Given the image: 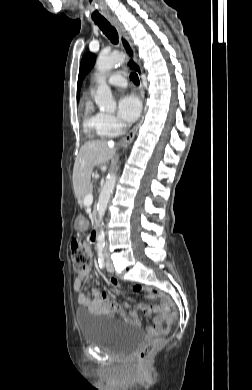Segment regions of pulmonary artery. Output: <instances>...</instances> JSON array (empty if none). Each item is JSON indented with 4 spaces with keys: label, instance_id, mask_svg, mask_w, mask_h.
Listing matches in <instances>:
<instances>
[{
    "label": "pulmonary artery",
    "instance_id": "1",
    "mask_svg": "<svg viewBox=\"0 0 252 390\" xmlns=\"http://www.w3.org/2000/svg\"><path fill=\"white\" fill-rule=\"evenodd\" d=\"M108 83L113 87H125L127 85L125 77L118 72L108 78Z\"/></svg>",
    "mask_w": 252,
    "mask_h": 390
}]
</instances>
